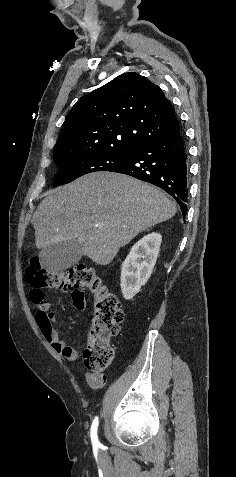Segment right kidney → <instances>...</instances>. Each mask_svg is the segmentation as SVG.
Listing matches in <instances>:
<instances>
[{"mask_svg": "<svg viewBox=\"0 0 236 477\" xmlns=\"http://www.w3.org/2000/svg\"><path fill=\"white\" fill-rule=\"evenodd\" d=\"M162 236L151 233L132 248L121 268V291L126 300L132 299L146 284L155 266Z\"/></svg>", "mask_w": 236, "mask_h": 477, "instance_id": "1", "label": "right kidney"}]
</instances>
